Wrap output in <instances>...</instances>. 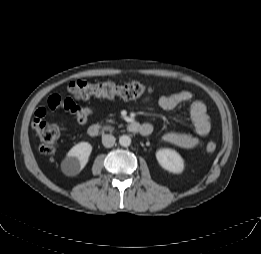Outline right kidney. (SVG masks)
<instances>
[{"instance_id":"1","label":"right kidney","mask_w":261,"mask_h":254,"mask_svg":"<svg viewBox=\"0 0 261 254\" xmlns=\"http://www.w3.org/2000/svg\"><path fill=\"white\" fill-rule=\"evenodd\" d=\"M91 152L92 146L88 142H80L73 146L64 160L66 172L79 173L88 163Z\"/></svg>"}]
</instances>
